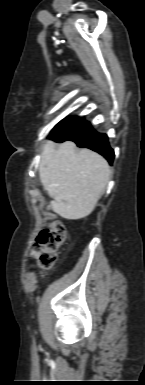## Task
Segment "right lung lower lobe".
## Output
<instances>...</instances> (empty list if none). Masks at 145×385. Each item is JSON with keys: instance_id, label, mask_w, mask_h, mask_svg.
Returning a JSON list of instances; mask_svg holds the SVG:
<instances>
[{"instance_id": "98d812e1", "label": "right lung lower lobe", "mask_w": 145, "mask_h": 385, "mask_svg": "<svg viewBox=\"0 0 145 385\" xmlns=\"http://www.w3.org/2000/svg\"><path fill=\"white\" fill-rule=\"evenodd\" d=\"M51 139L56 142L74 141L78 147L92 149L104 156L110 164L113 163L114 151L109 146L108 137L93 130L90 123L83 119L78 120L67 130L51 136Z\"/></svg>"}]
</instances>
